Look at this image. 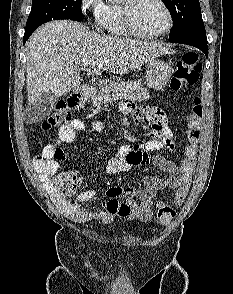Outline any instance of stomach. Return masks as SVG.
Wrapping results in <instances>:
<instances>
[{
  "label": "stomach",
  "mask_w": 233,
  "mask_h": 294,
  "mask_svg": "<svg viewBox=\"0 0 233 294\" xmlns=\"http://www.w3.org/2000/svg\"><path fill=\"white\" fill-rule=\"evenodd\" d=\"M173 69L166 62L159 59L149 61L146 69V83L155 90L163 88L171 78Z\"/></svg>",
  "instance_id": "1"
}]
</instances>
